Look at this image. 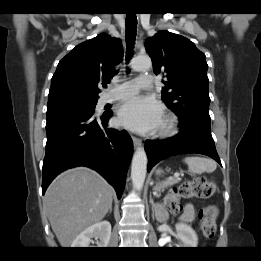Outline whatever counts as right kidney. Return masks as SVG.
Returning a JSON list of instances; mask_svg holds the SVG:
<instances>
[{
    "label": "right kidney",
    "instance_id": "obj_1",
    "mask_svg": "<svg viewBox=\"0 0 261 261\" xmlns=\"http://www.w3.org/2000/svg\"><path fill=\"white\" fill-rule=\"evenodd\" d=\"M111 237V224L104 220L102 222L93 224L81 232L72 242L73 248H88L93 241L92 238L99 239L97 247L106 248Z\"/></svg>",
    "mask_w": 261,
    "mask_h": 261
}]
</instances>
